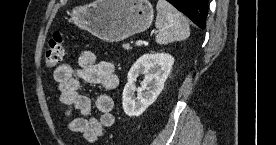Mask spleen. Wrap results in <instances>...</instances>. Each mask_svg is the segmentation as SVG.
I'll return each instance as SVG.
<instances>
[{"instance_id":"obj_1","label":"spleen","mask_w":276,"mask_h":145,"mask_svg":"<svg viewBox=\"0 0 276 145\" xmlns=\"http://www.w3.org/2000/svg\"><path fill=\"white\" fill-rule=\"evenodd\" d=\"M155 25L158 29V44L185 40L190 35L186 18L166 0H158Z\"/></svg>"}]
</instances>
